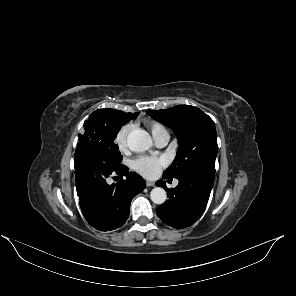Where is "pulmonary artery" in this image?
I'll return each mask as SVG.
<instances>
[{
    "instance_id": "1",
    "label": "pulmonary artery",
    "mask_w": 296,
    "mask_h": 296,
    "mask_svg": "<svg viewBox=\"0 0 296 296\" xmlns=\"http://www.w3.org/2000/svg\"><path fill=\"white\" fill-rule=\"evenodd\" d=\"M168 138H169L168 133H164L155 139V143L157 144V146L163 147L167 143Z\"/></svg>"
}]
</instances>
